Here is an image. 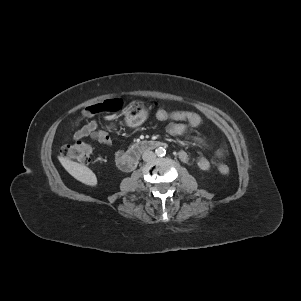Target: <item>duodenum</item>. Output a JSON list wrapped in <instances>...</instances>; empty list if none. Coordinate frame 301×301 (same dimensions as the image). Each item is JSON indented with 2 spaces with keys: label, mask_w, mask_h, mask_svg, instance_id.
<instances>
[{
  "label": "duodenum",
  "mask_w": 301,
  "mask_h": 301,
  "mask_svg": "<svg viewBox=\"0 0 301 301\" xmlns=\"http://www.w3.org/2000/svg\"><path fill=\"white\" fill-rule=\"evenodd\" d=\"M165 146L166 144L164 142L156 140H146L137 143L131 149L125 152L120 162V168L124 171H130L135 168L142 153Z\"/></svg>",
  "instance_id": "410a0bca"
}]
</instances>
